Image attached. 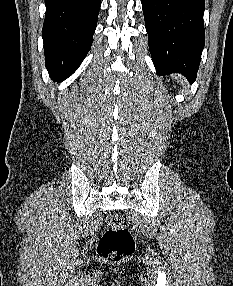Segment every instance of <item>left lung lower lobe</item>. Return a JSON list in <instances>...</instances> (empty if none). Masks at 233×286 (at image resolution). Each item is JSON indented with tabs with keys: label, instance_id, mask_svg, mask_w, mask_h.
Returning a JSON list of instances; mask_svg holds the SVG:
<instances>
[{
	"label": "left lung lower lobe",
	"instance_id": "left-lung-lower-lobe-1",
	"mask_svg": "<svg viewBox=\"0 0 233 286\" xmlns=\"http://www.w3.org/2000/svg\"><path fill=\"white\" fill-rule=\"evenodd\" d=\"M142 8L157 73L193 82L205 45V0H142Z\"/></svg>",
	"mask_w": 233,
	"mask_h": 286
}]
</instances>
